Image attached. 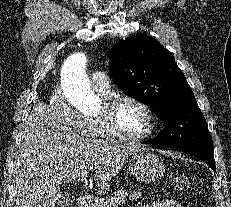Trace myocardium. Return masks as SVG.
Returning a JSON list of instances; mask_svg holds the SVG:
<instances>
[{"label":"myocardium","instance_id":"myocardium-1","mask_svg":"<svg viewBox=\"0 0 231 207\" xmlns=\"http://www.w3.org/2000/svg\"><path fill=\"white\" fill-rule=\"evenodd\" d=\"M131 102L139 107H141L148 120L147 129L140 135L137 136H129L126 135L117 125L115 121V115L118 107L125 103ZM103 125V128L108 136L113 139L127 142V143H135L148 139L153 135L156 129V116L152 108L143 100L131 96V95H115L105 100L103 105V110L98 117Z\"/></svg>","mask_w":231,"mask_h":207}]
</instances>
